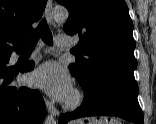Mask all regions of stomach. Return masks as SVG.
Returning <instances> with one entry per match:
<instances>
[{
    "instance_id": "1",
    "label": "stomach",
    "mask_w": 156,
    "mask_h": 124,
    "mask_svg": "<svg viewBox=\"0 0 156 124\" xmlns=\"http://www.w3.org/2000/svg\"><path fill=\"white\" fill-rule=\"evenodd\" d=\"M108 121H89L88 124H109ZM71 124H77L76 122H72Z\"/></svg>"
}]
</instances>
